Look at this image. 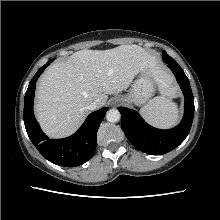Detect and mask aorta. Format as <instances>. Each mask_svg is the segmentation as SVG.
I'll list each match as a JSON object with an SVG mask.
<instances>
[{
  "instance_id": "1",
  "label": "aorta",
  "mask_w": 220,
  "mask_h": 220,
  "mask_svg": "<svg viewBox=\"0 0 220 220\" xmlns=\"http://www.w3.org/2000/svg\"><path fill=\"white\" fill-rule=\"evenodd\" d=\"M121 118L120 112L117 109H110L106 113V119L109 122H118Z\"/></svg>"
}]
</instances>
